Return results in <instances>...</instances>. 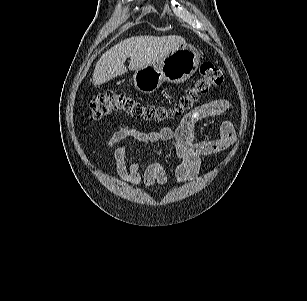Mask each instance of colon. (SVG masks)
<instances>
[{
    "instance_id": "5ec220e1",
    "label": "colon",
    "mask_w": 307,
    "mask_h": 301,
    "mask_svg": "<svg viewBox=\"0 0 307 301\" xmlns=\"http://www.w3.org/2000/svg\"><path fill=\"white\" fill-rule=\"evenodd\" d=\"M222 68L210 62L200 66V78L178 100L173 108L142 103L120 91H107L95 96L90 103V118L100 120L114 112H125L145 121L164 120L190 111L194 104L223 82Z\"/></svg>"
}]
</instances>
